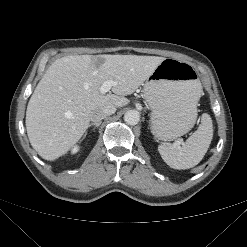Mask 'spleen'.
Returning <instances> with one entry per match:
<instances>
[{
  "label": "spleen",
  "instance_id": "spleen-1",
  "mask_svg": "<svg viewBox=\"0 0 247 247\" xmlns=\"http://www.w3.org/2000/svg\"><path fill=\"white\" fill-rule=\"evenodd\" d=\"M213 137L210 115L204 113L198 129L182 146L161 144L158 151L167 165L174 169H189L196 166L206 154Z\"/></svg>",
  "mask_w": 247,
  "mask_h": 247
}]
</instances>
